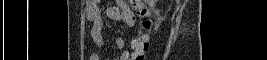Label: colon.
<instances>
[{
	"instance_id": "obj_1",
	"label": "colon",
	"mask_w": 267,
	"mask_h": 60,
	"mask_svg": "<svg viewBox=\"0 0 267 60\" xmlns=\"http://www.w3.org/2000/svg\"><path fill=\"white\" fill-rule=\"evenodd\" d=\"M134 9L141 17L149 16L150 10L144 6L142 1H132ZM144 25L147 31H150L153 26L151 19H147L144 22ZM132 59L134 60H143L145 59V54L149 50V35L147 32H140L133 39V48H132Z\"/></svg>"
}]
</instances>
